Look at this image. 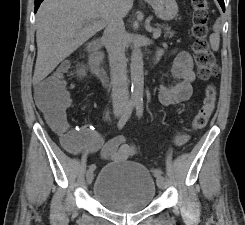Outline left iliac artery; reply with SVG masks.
I'll use <instances>...</instances> for the list:
<instances>
[{
    "mask_svg": "<svg viewBox=\"0 0 245 225\" xmlns=\"http://www.w3.org/2000/svg\"><path fill=\"white\" fill-rule=\"evenodd\" d=\"M136 113L139 118L142 117L143 115V101L142 100H139L136 102ZM154 175L158 179L159 177L162 176V171L160 169H156L154 171Z\"/></svg>",
    "mask_w": 245,
    "mask_h": 225,
    "instance_id": "1",
    "label": "left iliac artery"
}]
</instances>
